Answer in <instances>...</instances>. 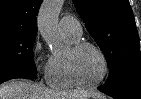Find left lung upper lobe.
I'll return each mask as SVG.
<instances>
[{
    "mask_svg": "<svg viewBox=\"0 0 141 99\" xmlns=\"http://www.w3.org/2000/svg\"><path fill=\"white\" fill-rule=\"evenodd\" d=\"M109 67L106 84L141 78L138 31L128 0H73Z\"/></svg>",
    "mask_w": 141,
    "mask_h": 99,
    "instance_id": "obj_1",
    "label": "left lung upper lobe"
}]
</instances>
